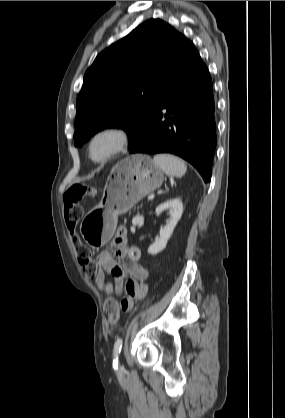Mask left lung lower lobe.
<instances>
[{"mask_svg": "<svg viewBox=\"0 0 285 418\" xmlns=\"http://www.w3.org/2000/svg\"><path fill=\"white\" fill-rule=\"evenodd\" d=\"M216 139L212 79L194 44L184 38L147 127L129 152L178 155L209 182Z\"/></svg>", "mask_w": 285, "mask_h": 418, "instance_id": "obj_1", "label": "left lung lower lobe"}]
</instances>
